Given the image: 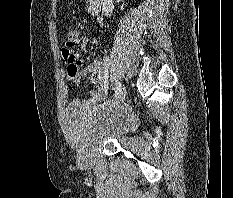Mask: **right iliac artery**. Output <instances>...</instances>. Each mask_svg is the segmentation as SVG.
<instances>
[{
    "instance_id": "82829eb1",
    "label": "right iliac artery",
    "mask_w": 233,
    "mask_h": 198,
    "mask_svg": "<svg viewBox=\"0 0 233 198\" xmlns=\"http://www.w3.org/2000/svg\"><path fill=\"white\" fill-rule=\"evenodd\" d=\"M116 85V93H115V98H117L119 96V94L121 93V83L116 81L115 82Z\"/></svg>"
}]
</instances>
